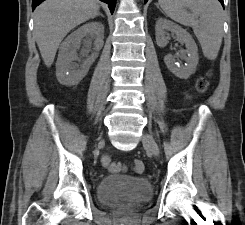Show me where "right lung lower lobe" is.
Masks as SVG:
<instances>
[{"label":"right lung lower lobe","mask_w":245,"mask_h":225,"mask_svg":"<svg viewBox=\"0 0 245 225\" xmlns=\"http://www.w3.org/2000/svg\"><path fill=\"white\" fill-rule=\"evenodd\" d=\"M44 0H33L32 1V10H34V8L36 6H38L41 2H43ZM107 4H109V8L111 10V12L113 13L114 11V7H115V3H116V0H101Z\"/></svg>","instance_id":"98d812e1"}]
</instances>
